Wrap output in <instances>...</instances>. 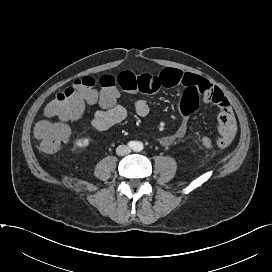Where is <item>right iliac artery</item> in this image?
<instances>
[{
	"label": "right iliac artery",
	"instance_id": "1",
	"mask_svg": "<svg viewBox=\"0 0 272 272\" xmlns=\"http://www.w3.org/2000/svg\"><path fill=\"white\" fill-rule=\"evenodd\" d=\"M128 145H129L130 147H133V146H134V142H129Z\"/></svg>",
	"mask_w": 272,
	"mask_h": 272
}]
</instances>
